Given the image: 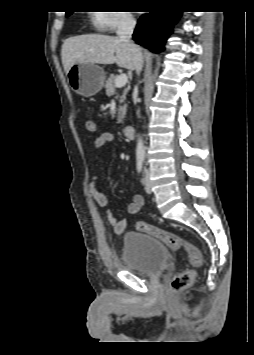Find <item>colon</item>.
<instances>
[{
  "label": "colon",
  "instance_id": "5ec220e1",
  "mask_svg": "<svg viewBox=\"0 0 254 355\" xmlns=\"http://www.w3.org/2000/svg\"><path fill=\"white\" fill-rule=\"evenodd\" d=\"M85 129L89 134H95L97 132L96 122L92 119L86 120ZM136 229L141 233L159 239L172 250H184L193 267H199L202 265L203 256L199 249L181 236L141 221L136 223ZM195 276L196 272L194 269H187L176 274L171 280V289L175 292H180L190 288L194 282Z\"/></svg>",
  "mask_w": 254,
  "mask_h": 355
}]
</instances>
